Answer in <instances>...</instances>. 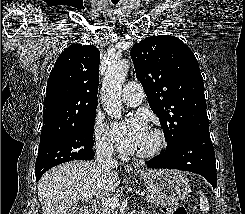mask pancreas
I'll list each match as a JSON object with an SVG mask.
<instances>
[{"mask_svg": "<svg viewBox=\"0 0 245 214\" xmlns=\"http://www.w3.org/2000/svg\"><path fill=\"white\" fill-rule=\"evenodd\" d=\"M146 192V200L148 203L155 206H165L169 205L170 202L162 198L161 196L154 193L151 189L147 188ZM98 214H118L117 209L111 207L100 206L98 210Z\"/></svg>", "mask_w": 245, "mask_h": 214, "instance_id": "obj_1", "label": "pancreas"}]
</instances>
